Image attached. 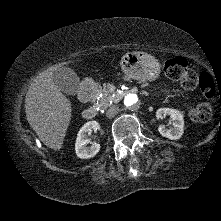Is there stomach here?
<instances>
[{"instance_id": "stomach-1", "label": "stomach", "mask_w": 221, "mask_h": 221, "mask_svg": "<svg viewBox=\"0 0 221 221\" xmlns=\"http://www.w3.org/2000/svg\"><path fill=\"white\" fill-rule=\"evenodd\" d=\"M124 74L139 81H154L160 75L161 66L155 57L145 52H128L121 59Z\"/></svg>"}]
</instances>
